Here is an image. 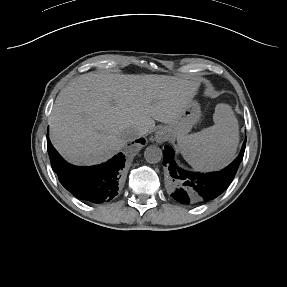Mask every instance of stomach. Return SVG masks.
<instances>
[{"instance_id":"1","label":"stomach","mask_w":287,"mask_h":287,"mask_svg":"<svg viewBox=\"0 0 287 287\" xmlns=\"http://www.w3.org/2000/svg\"><path fill=\"white\" fill-rule=\"evenodd\" d=\"M201 109L196 101L190 103L184 109L181 117L168 125L161 128L156 134L157 138L165 137L168 140L178 139L186 136L193 125L200 119Z\"/></svg>"}]
</instances>
